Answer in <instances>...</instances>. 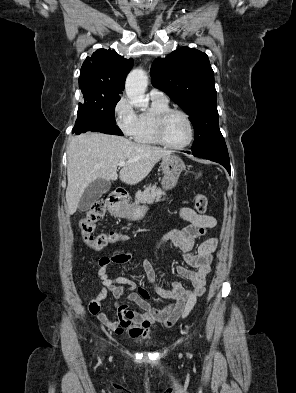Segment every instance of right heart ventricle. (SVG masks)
Segmentation results:
<instances>
[{
    "instance_id": "right-heart-ventricle-1",
    "label": "right heart ventricle",
    "mask_w": 296,
    "mask_h": 393,
    "mask_svg": "<svg viewBox=\"0 0 296 393\" xmlns=\"http://www.w3.org/2000/svg\"><path fill=\"white\" fill-rule=\"evenodd\" d=\"M169 109V104L151 99L149 110L138 116V125L134 135L137 143L142 145H160L156 136V121L158 116Z\"/></svg>"
}]
</instances>
